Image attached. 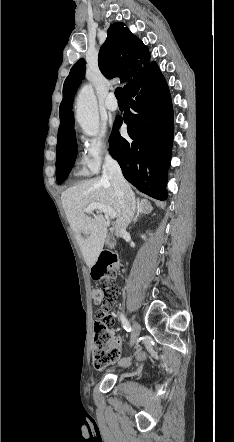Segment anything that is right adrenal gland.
Listing matches in <instances>:
<instances>
[{
  "label": "right adrenal gland",
  "instance_id": "2a0ac1e0",
  "mask_svg": "<svg viewBox=\"0 0 234 442\" xmlns=\"http://www.w3.org/2000/svg\"><path fill=\"white\" fill-rule=\"evenodd\" d=\"M152 209L151 205L146 200H141L140 198H137L136 202V215L133 219V224H135L139 218V215L142 213H145V208Z\"/></svg>",
  "mask_w": 234,
  "mask_h": 442
}]
</instances>
